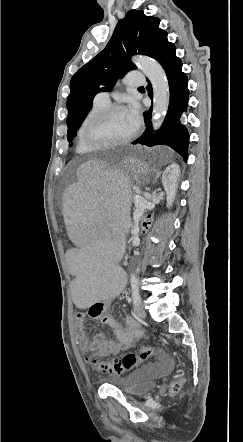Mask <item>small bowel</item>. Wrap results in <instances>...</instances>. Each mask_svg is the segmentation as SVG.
Masks as SVG:
<instances>
[{
    "instance_id": "1",
    "label": "small bowel",
    "mask_w": 243,
    "mask_h": 442,
    "mask_svg": "<svg viewBox=\"0 0 243 442\" xmlns=\"http://www.w3.org/2000/svg\"><path fill=\"white\" fill-rule=\"evenodd\" d=\"M112 299V297L107 299L105 304H109ZM105 304L97 302L96 307H89L88 313L91 318L99 319L112 328L115 336L113 339L107 338L103 333H97L90 337L85 331L84 316L77 314L75 317L76 335L81 349L100 356L116 355L133 346L142 337V330L132 317L125 318L127 328L123 329L116 319L105 316L103 314Z\"/></svg>"
}]
</instances>
